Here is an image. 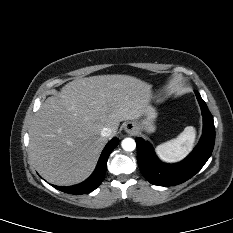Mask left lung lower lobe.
I'll return each instance as SVG.
<instances>
[{
  "label": "left lung lower lobe",
  "mask_w": 233,
  "mask_h": 233,
  "mask_svg": "<svg viewBox=\"0 0 233 233\" xmlns=\"http://www.w3.org/2000/svg\"><path fill=\"white\" fill-rule=\"evenodd\" d=\"M203 113V134L198 146L183 161L163 164L155 156L151 146L141 138L136 139L137 161L143 176L154 185H178L198 173L209 159L215 142L213 117L200 94L195 91Z\"/></svg>",
  "instance_id": "left-lung-lower-lobe-1"
}]
</instances>
